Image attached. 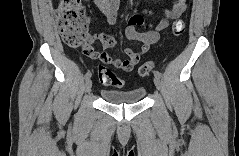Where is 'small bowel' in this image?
<instances>
[{"label": "small bowel", "mask_w": 239, "mask_h": 156, "mask_svg": "<svg viewBox=\"0 0 239 156\" xmlns=\"http://www.w3.org/2000/svg\"><path fill=\"white\" fill-rule=\"evenodd\" d=\"M95 3L99 11L105 16L108 24L115 25L117 22L119 1L96 0ZM185 10V1L175 0L172 3L171 8L165 10L164 18L156 24H150L149 28L145 31H139L137 29V26L144 25L143 17L139 15L132 16L129 19V24L125 28V36L130 41L140 42L142 46L139 51L126 48L125 52L129 56L128 59H115L107 52V49L111 48L115 44V38L108 32H101L97 35V38L102 42V51H96L91 46L93 39L90 38L87 48H83V52L91 59H99L104 64L112 65L125 72H131L138 64L141 56L148 51L150 45L159 40L160 31L166 29L169 26L170 21L180 18ZM144 12L147 13L148 11L145 10Z\"/></svg>", "instance_id": "c3829d8e"}]
</instances>
